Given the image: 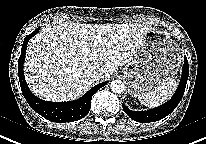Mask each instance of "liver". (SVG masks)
<instances>
[{
    "label": "liver",
    "mask_w": 206,
    "mask_h": 144,
    "mask_svg": "<svg viewBox=\"0 0 206 144\" xmlns=\"http://www.w3.org/2000/svg\"><path fill=\"white\" fill-rule=\"evenodd\" d=\"M148 30L138 23L64 22L43 27L27 47L26 82L44 100L77 99L95 83L87 74L89 68L101 70L100 80L108 78L133 60Z\"/></svg>",
    "instance_id": "1"
}]
</instances>
